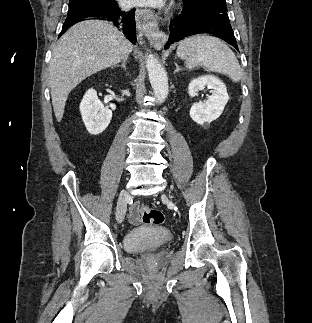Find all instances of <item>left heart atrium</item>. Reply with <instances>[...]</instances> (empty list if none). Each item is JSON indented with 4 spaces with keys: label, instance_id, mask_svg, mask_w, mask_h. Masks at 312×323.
<instances>
[{
    "label": "left heart atrium",
    "instance_id": "1",
    "mask_svg": "<svg viewBox=\"0 0 312 323\" xmlns=\"http://www.w3.org/2000/svg\"><path fill=\"white\" fill-rule=\"evenodd\" d=\"M131 8H158L165 6V0H126Z\"/></svg>",
    "mask_w": 312,
    "mask_h": 323
}]
</instances>
